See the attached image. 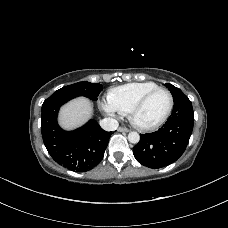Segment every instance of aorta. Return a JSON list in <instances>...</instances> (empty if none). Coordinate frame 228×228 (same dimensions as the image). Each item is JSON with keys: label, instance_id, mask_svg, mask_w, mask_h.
I'll return each mask as SVG.
<instances>
[{"label": "aorta", "instance_id": "1", "mask_svg": "<svg viewBox=\"0 0 228 228\" xmlns=\"http://www.w3.org/2000/svg\"><path fill=\"white\" fill-rule=\"evenodd\" d=\"M128 140L129 142L136 144L140 140V135L137 132L132 131L128 134Z\"/></svg>", "mask_w": 228, "mask_h": 228}]
</instances>
